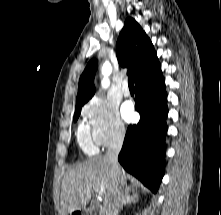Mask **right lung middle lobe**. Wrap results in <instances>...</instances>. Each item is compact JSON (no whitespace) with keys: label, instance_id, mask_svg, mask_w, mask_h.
Segmentation results:
<instances>
[{"label":"right lung middle lobe","instance_id":"obj_1","mask_svg":"<svg viewBox=\"0 0 221 215\" xmlns=\"http://www.w3.org/2000/svg\"><path fill=\"white\" fill-rule=\"evenodd\" d=\"M84 104H80V105H76V111H75V114H74V120L76 121L80 115V112H81V107L83 106Z\"/></svg>","mask_w":221,"mask_h":215}]
</instances>
